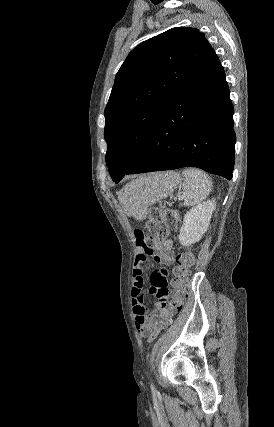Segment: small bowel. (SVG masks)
I'll list each match as a JSON object with an SVG mask.
<instances>
[{
  "label": "small bowel",
  "instance_id": "obj_1",
  "mask_svg": "<svg viewBox=\"0 0 274 427\" xmlns=\"http://www.w3.org/2000/svg\"><path fill=\"white\" fill-rule=\"evenodd\" d=\"M142 244L136 247L135 264L133 268V281H132V301H133V313L135 318V325L142 336H148L149 331H152V323L150 322V309L151 310H162L164 307L163 302L169 300V288L171 282L168 277L165 276L163 269H156L154 275H147L146 282L150 284V292L152 294H158V301H151L149 307L145 303V295L142 290L144 283L143 273L147 271V257L153 254L150 248H147ZM171 247L168 245H162L159 249L154 250V255L151 258L152 265H170L175 261V254L170 251ZM147 256V257H146Z\"/></svg>",
  "mask_w": 274,
  "mask_h": 427
}]
</instances>
